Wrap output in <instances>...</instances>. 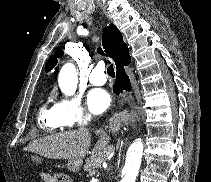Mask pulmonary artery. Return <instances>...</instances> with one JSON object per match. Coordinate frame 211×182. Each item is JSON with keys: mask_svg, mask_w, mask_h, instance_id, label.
Listing matches in <instances>:
<instances>
[{"mask_svg": "<svg viewBox=\"0 0 211 182\" xmlns=\"http://www.w3.org/2000/svg\"><path fill=\"white\" fill-rule=\"evenodd\" d=\"M90 82L95 86L103 85L106 82V74L104 72V67L98 65L90 74Z\"/></svg>", "mask_w": 211, "mask_h": 182, "instance_id": "obj_1", "label": "pulmonary artery"}]
</instances>
